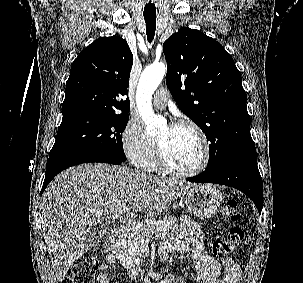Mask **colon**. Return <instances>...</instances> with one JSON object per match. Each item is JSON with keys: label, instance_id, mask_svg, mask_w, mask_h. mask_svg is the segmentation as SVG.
<instances>
[{"label": "colon", "instance_id": "1", "mask_svg": "<svg viewBox=\"0 0 303 283\" xmlns=\"http://www.w3.org/2000/svg\"><path fill=\"white\" fill-rule=\"evenodd\" d=\"M220 218L222 223L233 225L240 219V210L235 200L225 202L221 209ZM244 232L233 225L227 236L211 242L212 249L222 255H236L243 243ZM99 259L97 254L89 253L70 268L63 283H94Z\"/></svg>", "mask_w": 303, "mask_h": 283}]
</instances>
